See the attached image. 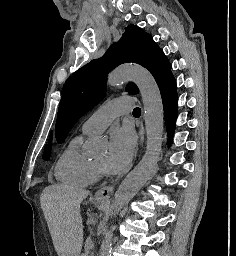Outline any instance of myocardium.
<instances>
[{"mask_svg":"<svg viewBox=\"0 0 236 256\" xmlns=\"http://www.w3.org/2000/svg\"><path fill=\"white\" fill-rule=\"evenodd\" d=\"M115 86H117V84H113ZM95 166L105 175L109 176L110 174L107 172L106 168L104 167V165L102 164H97L95 163Z\"/></svg>","mask_w":236,"mask_h":256,"instance_id":"obj_1","label":"myocardium"}]
</instances>
